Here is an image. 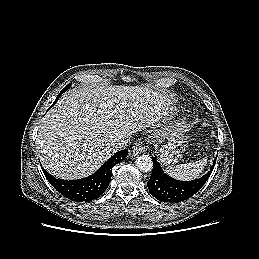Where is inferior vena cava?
Instances as JSON below:
<instances>
[{
  "label": "inferior vena cava",
  "mask_w": 259,
  "mask_h": 259,
  "mask_svg": "<svg viewBox=\"0 0 259 259\" xmlns=\"http://www.w3.org/2000/svg\"><path fill=\"white\" fill-rule=\"evenodd\" d=\"M130 144V139L129 138H123L121 140H118L117 142L114 143V149H120V148H125Z\"/></svg>",
  "instance_id": "obj_1"
}]
</instances>
